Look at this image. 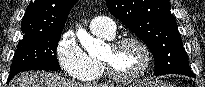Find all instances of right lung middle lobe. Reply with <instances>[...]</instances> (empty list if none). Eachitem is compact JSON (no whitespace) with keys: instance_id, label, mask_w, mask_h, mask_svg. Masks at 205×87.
Wrapping results in <instances>:
<instances>
[{"instance_id":"1","label":"right lung middle lobe","mask_w":205,"mask_h":87,"mask_svg":"<svg viewBox=\"0 0 205 87\" xmlns=\"http://www.w3.org/2000/svg\"><path fill=\"white\" fill-rule=\"evenodd\" d=\"M61 32L24 34L14 54L9 78L26 70H60L55 53Z\"/></svg>"}]
</instances>
